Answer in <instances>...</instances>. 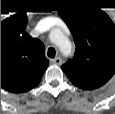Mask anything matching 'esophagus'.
I'll list each match as a JSON object with an SVG mask.
<instances>
[{
    "label": "esophagus",
    "mask_w": 115,
    "mask_h": 114,
    "mask_svg": "<svg viewBox=\"0 0 115 114\" xmlns=\"http://www.w3.org/2000/svg\"><path fill=\"white\" fill-rule=\"evenodd\" d=\"M51 62L57 65H61L62 59L60 57H55L54 59L51 60Z\"/></svg>",
    "instance_id": "1"
}]
</instances>
